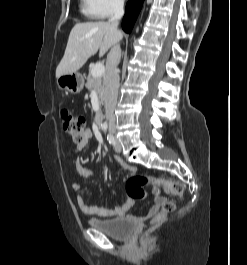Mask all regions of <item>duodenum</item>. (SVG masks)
Returning <instances> with one entry per match:
<instances>
[{"mask_svg": "<svg viewBox=\"0 0 247 265\" xmlns=\"http://www.w3.org/2000/svg\"><path fill=\"white\" fill-rule=\"evenodd\" d=\"M102 124H103V116L102 115H97V117H96V125H97V127H101L102 126Z\"/></svg>", "mask_w": 247, "mask_h": 265, "instance_id": "410a0bca", "label": "duodenum"}]
</instances>
